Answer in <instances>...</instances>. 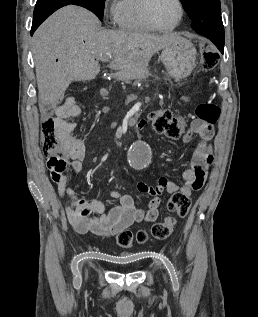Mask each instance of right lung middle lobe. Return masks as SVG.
Instances as JSON below:
<instances>
[{"label": "right lung middle lobe", "instance_id": "dd1d6c3e", "mask_svg": "<svg viewBox=\"0 0 258 317\" xmlns=\"http://www.w3.org/2000/svg\"><path fill=\"white\" fill-rule=\"evenodd\" d=\"M89 6L91 11L101 20L103 21V12L105 0H89Z\"/></svg>", "mask_w": 258, "mask_h": 317}]
</instances>
